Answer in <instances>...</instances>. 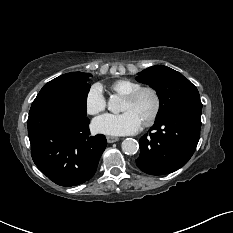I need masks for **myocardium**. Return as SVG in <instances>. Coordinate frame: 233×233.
Segmentation results:
<instances>
[{
    "label": "myocardium",
    "mask_w": 233,
    "mask_h": 233,
    "mask_svg": "<svg viewBox=\"0 0 233 233\" xmlns=\"http://www.w3.org/2000/svg\"><path fill=\"white\" fill-rule=\"evenodd\" d=\"M143 92H150L154 97V108L147 119L143 122L144 126H149L156 120L161 109V98L157 89L152 86H140L136 90L124 96V99L131 102L135 101Z\"/></svg>",
    "instance_id": "myocardium-1"
}]
</instances>
